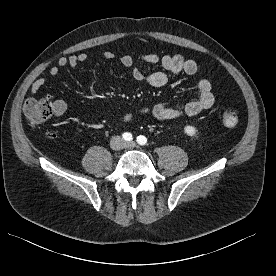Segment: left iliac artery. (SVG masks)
I'll return each mask as SVG.
<instances>
[{
	"label": "left iliac artery",
	"instance_id": "1",
	"mask_svg": "<svg viewBox=\"0 0 276 276\" xmlns=\"http://www.w3.org/2000/svg\"><path fill=\"white\" fill-rule=\"evenodd\" d=\"M136 141L139 145H145L147 143V138L143 135H139L137 138H136Z\"/></svg>",
	"mask_w": 276,
	"mask_h": 276
}]
</instances>
